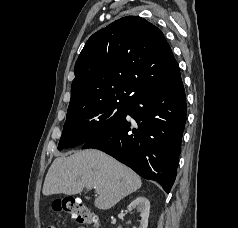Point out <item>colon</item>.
<instances>
[{"instance_id": "1", "label": "colon", "mask_w": 238, "mask_h": 228, "mask_svg": "<svg viewBox=\"0 0 238 228\" xmlns=\"http://www.w3.org/2000/svg\"><path fill=\"white\" fill-rule=\"evenodd\" d=\"M53 210L71 214L73 219L79 224L97 225L98 217L92 210L74 198H66L53 204ZM43 228H56L54 225L47 224Z\"/></svg>"}]
</instances>
